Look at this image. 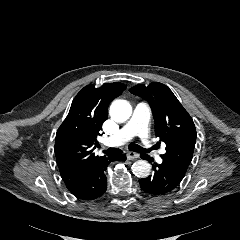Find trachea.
Here are the masks:
<instances>
[{"instance_id": "1", "label": "trachea", "mask_w": 240, "mask_h": 240, "mask_svg": "<svg viewBox=\"0 0 240 240\" xmlns=\"http://www.w3.org/2000/svg\"><path fill=\"white\" fill-rule=\"evenodd\" d=\"M129 150L131 151H137V152H142L144 151V149L142 147H140L139 145L137 144H131L129 146ZM122 151L120 149H117V148H111L107 151H104V153H106L108 156L110 155H113V154H117V153H121Z\"/></svg>"}]
</instances>
